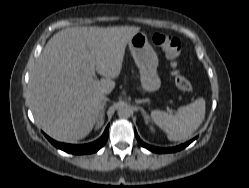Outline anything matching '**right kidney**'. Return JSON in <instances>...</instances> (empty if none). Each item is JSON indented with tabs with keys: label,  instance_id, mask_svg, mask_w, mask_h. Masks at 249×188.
Returning <instances> with one entry per match:
<instances>
[{
	"label": "right kidney",
	"instance_id": "ca27d5eb",
	"mask_svg": "<svg viewBox=\"0 0 249 188\" xmlns=\"http://www.w3.org/2000/svg\"><path fill=\"white\" fill-rule=\"evenodd\" d=\"M101 125H102V123H100V121H98L96 128L99 129L101 127Z\"/></svg>",
	"mask_w": 249,
	"mask_h": 188
}]
</instances>
